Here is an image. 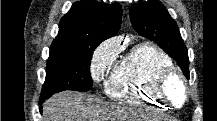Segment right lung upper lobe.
I'll return each instance as SVG.
<instances>
[{"mask_svg": "<svg viewBox=\"0 0 217 121\" xmlns=\"http://www.w3.org/2000/svg\"><path fill=\"white\" fill-rule=\"evenodd\" d=\"M121 19L122 9L118 3L81 0L60 20L59 33L53 43H101L117 34Z\"/></svg>", "mask_w": 217, "mask_h": 121, "instance_id": "right-lung-upper-lobe-1", "label": "right lung upper lobe"}]
</instances>
